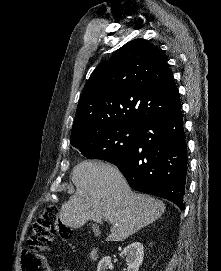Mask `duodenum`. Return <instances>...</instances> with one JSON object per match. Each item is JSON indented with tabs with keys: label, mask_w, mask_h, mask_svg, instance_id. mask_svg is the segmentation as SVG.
Wrapping results in <instances>:
<instances>
[{
	"label": "duodenum",
	"mask_w": 221,
	"mask_h": 271,
	"mask_svg": "<svg viewBox=\"0 0 221 271\" xmlns=\"http://www.w3.org/2000/svg\"><path fill=\"white\" fill-rule=\"evenodd\" d=\"M91 258H92V259H97V258H98V251H97V249H94V250L91 252Z\"/></svg>",
	"instance_id": "obj_1"
}]
</instances>
